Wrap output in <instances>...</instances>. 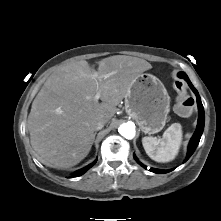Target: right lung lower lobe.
<instances>
[{"mask_svg": "<svg viewBox=\"0 0 221 221\" xmlns=\"http://www.w3.org/2000/svg\"><path fill=\"white\" fill-rule=\"evenodd\" d=\"M95 163H96V161L93 162L92 164H90V165H88V166H86V167H84V168L78 170V171L75 172L70 178L78 177V176L84 174V173H85L89 168H91Z\"/></svg>", "mask_w": 221, "mask_h": 221, "instance_id": "1", "label": "right lung lower lobe"}]
</instances>
